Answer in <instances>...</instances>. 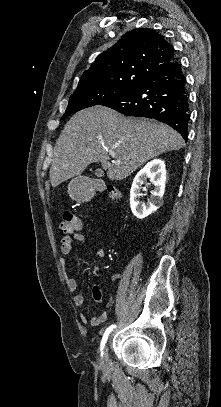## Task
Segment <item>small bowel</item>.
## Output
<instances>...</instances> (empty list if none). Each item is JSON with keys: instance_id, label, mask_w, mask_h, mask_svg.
I'll return each mask as SVG.
<instances>
[{"instance_id": "1", "label": "small bowel", "mask_w": 221, "mask_h": 407, "mask_svg": "<svg viewBox=\"0 0 221 407\" xmlns=\"http://www.w3.org/2000/svg\"><path fill=\"white\" fill-rule=\"evenodd\" d=\"M77 241L80 243H87L86 237L82 233H75L73 236H64L61 239L60 243V251L62 255L64 256H70L72 253V248H73V241ZM92 249L94 250L95 254L99 258H104L105 257V251L102 247L98 245H92ZM61 264H64V260H60ZM89 271L91 274L94 276L98 277L100 274V271L97 267L92 266L89 268ZM114 278H117V276H114ZM66 287L68 291L72 294V301L75 306H82L85 302V296L82 293H77V281L73 277H67L65 280ZM92 298L95 303L100 304L104 301V297L102 294V291L98 285H94L93 290H92ZM80 320L84 324H91V325H99L104 322L105 320V314L100 313L94 317H89L85 313L80 314Z\"/></svg>"}]
</instances>
